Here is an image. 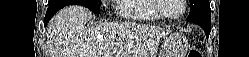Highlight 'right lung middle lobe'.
<instances>
[{
	"label": "right lung middle lobe",
	"mask_w": 249,
	"mask_h": 57,
	"mask_svg": "<svg viewBox=\"0 0 249 57\" xmlns=\"http://www.w3.org/2000/svg\"><path fill=\"white\" fill-rule=\"evenodd\" d=\"M82 5L92 12L99 14L100 7L97 0H49L48 5L52 7H64L67 5Z\"/></svg>",
	"instance_id": "obj_1"
}]
</instances>
